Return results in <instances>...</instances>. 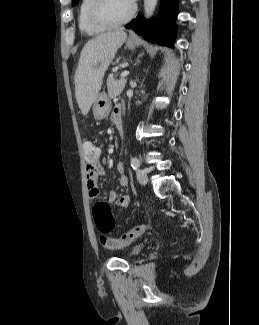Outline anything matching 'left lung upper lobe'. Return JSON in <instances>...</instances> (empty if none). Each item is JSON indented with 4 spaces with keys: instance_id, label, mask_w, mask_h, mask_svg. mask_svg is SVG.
I'll list each match as a JSON object with an SVG mask.
<instances>
[{
    "instance_id": "5c2ea615",
    "label": "left lung upper lobe",
    "mask_w": 259,
    "mask_h": 325,
    "mask_svg": "<svg viewBox=\"0 0 259 325\" xmlns=\"http://www.w3.org/2000/svg\"><path fill=\"white\" fill-rule=\"evenodd\" d=\"M77 3V0H73V6H75Z\"/></svg>"
}]
</instances>
